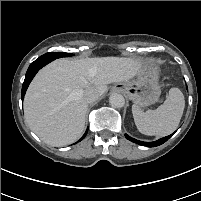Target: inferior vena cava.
<instances>
[{
  "label": "inferior vena cava",
  "instance_id": "602c4592",
  "mask_svg": "<svg viewBox=\"0 0 201 201\" xmlns=\"http://www.w3.org/2000/svg\"><path fill=\"white\" fill-rule=\"evenodd\" d=\"M83 95L88 103L94 102L98 98V93L92 88L86 89Z\"/></svg>",
  "mask_w": 201,
  "mask_h": 201
}]
</instances>
